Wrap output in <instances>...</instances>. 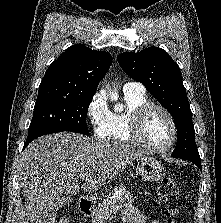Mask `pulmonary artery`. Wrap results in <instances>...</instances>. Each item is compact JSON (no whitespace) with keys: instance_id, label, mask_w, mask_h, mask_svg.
<instances>
[{"instance_id":"e3ab8cb5","label":"pulmonary artery","mask_w":221,"mask_h":223,"mask_svg":"<svg viewBox=\"0 0 221 223\" xmlns=\"http://www.w3.org/2000/svg\"><path fill=\"white\" fill-rule=\"evenodd\" d=\"M145 88L141 83L130 81L123 85V92H144Z\"/></svg>"}]
</instances>
